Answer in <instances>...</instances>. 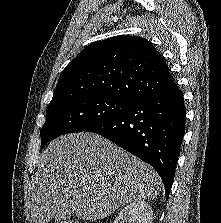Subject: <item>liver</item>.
Wrapping results in <instances>:
<instances>
[{"label": "liver", "mask_w": 221, "mask_h": 223, "mask_svg": "<svg viewBox=\"0 0 221 223\" xmlns=\"http://www.w3.org/2000/svg\"><path fill=\"white\" fill-rule=\"evenodd\" d=\"M31 223H57L74 212L101 220L133 201L155 198L161 179L148 164L89 132L62 135L38 158Z\"/></svg>", "instance_id": "1"}]
</instances>
